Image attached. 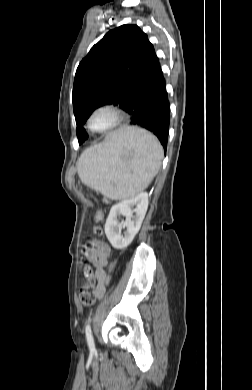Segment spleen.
I'll use <instances>...</instances> for the list:
<instances>
[{
	"instance_id": "3e777b00",
	"label": "spleen",
	"mask_w": 252,
	"mask_h": 390,
	"mask_svg": "<svg viewBox=\"0 0 252 390\" xmlns=\"http://www.w3.org/2000/svg\"><path fill=\"white\" fill-rule=\"evenodd\" d=\"M162 158V146L153 134L126 127L86 149L77 171L83 184L112 200H125L147 188Z\"/></svg>"
}]
</instances>
